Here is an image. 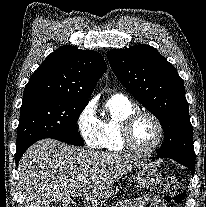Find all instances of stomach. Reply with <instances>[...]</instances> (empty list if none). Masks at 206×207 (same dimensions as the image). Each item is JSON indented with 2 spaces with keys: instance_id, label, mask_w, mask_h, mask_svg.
<instances>
[{
  "instance_id": "1",
  "label": "stomach",
  "mask_w": 206,
  "mask_h": 207,
  "mask_svg": "<svg viewBox=\"0 0 206 207\" xmlns=\"http://www.w3.org/2000/svg\"><path fill=\"white\" fill-rule=\"evenodd\" d=\"M135 179L139 187L151 190L160 184L162 175L153 163L139 161L135 166ZM111 193L112 189L109 190L108 195Z\"/></svg>"
}]
</instances>
